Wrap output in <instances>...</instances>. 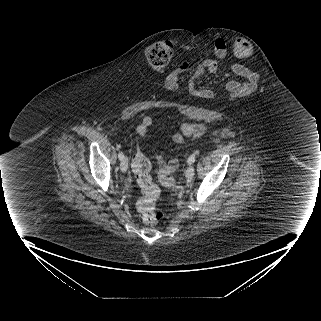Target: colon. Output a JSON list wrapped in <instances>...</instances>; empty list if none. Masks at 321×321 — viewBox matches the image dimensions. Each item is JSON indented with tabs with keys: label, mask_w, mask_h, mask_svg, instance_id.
I'll use <instances>...</instances> for the list:
<instances>
[{
	"label": "colon",
	"mask_w": 321,
	"mask_h": 321,
	"mask_svg": "<svg viewBox=\"0 0 321 321\" xmlns=\"http://www.w3.org/2000/svg\"><path fill=\"white\" fill-rule=\"evenodd\" d=\"M232 47L238 57H247L252 51L250 42L241 37L232 40ZM181 50H185V48L179 47L171 41H159L146 49L145 57L152 69L161 71ZM132 169L142 193L136 203L139 218L146 225H154L161 219L162 215L156 210L160 190L152 180L150 162L141 152H137L133 158ZM161 184L170 188L174 186L175 180L172 177L164 176L161 177Z\"/></svg>",
	"instance_id": "colon-1"
}]
</instances>
